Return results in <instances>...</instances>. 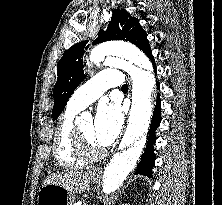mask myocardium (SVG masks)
<instances>
[{
    "mask_svg": "<svg viewBox=\"0 0 222 205\" xmlns=\"http://www.w3.org/2000/svg\"><path fill=\"white\" fill-rule=\"evenodd\" d=\"M73 146L78 157L84 162H95L105 155L104 149H93L85 140L79 126L73 129Z\"/></svg>",
    "mask_w": 222,
    "mask_h": 205,
    "instance_id": "1",
    "label": "myocardium"
}]
</instances>
